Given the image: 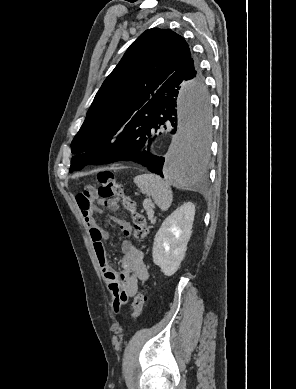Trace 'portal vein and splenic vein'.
Wrapping results in <instances>:
<instances>
[{"mask_svg": "<svg viewBox=\"0 0 296 389\" xmlns=\"http://www.w3.org/2000/svg\"><path fill=\"white\" fill-rule=\"evenodd\" d=\"M147 213H148V216H153V211L151 209L147 208Z\"/></svg>", "mask_w": 296, "mask_h": 389, "instance_id": "1", "label": "portal vein and splenic vein"}]
</instances>
